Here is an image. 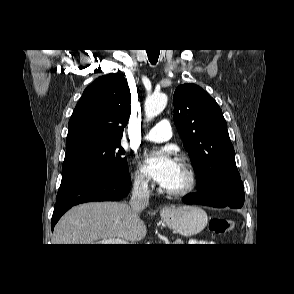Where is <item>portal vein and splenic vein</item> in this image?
Returning a JSON list of instances; mask_svg holds the SVG:
<instances>
[{
	"label": "portal vein and splenic vein",
	"mask_w": 294,
	"mask_h": 294,
	"mask_svg": "<svg viewBox=\"0 0 294 294\" xmlns=\"http://www.w3.org/2000/svg\"><path fill=\"white\" fill-rule=\"evenodd\" d=\"M99 244H108V245H121V244H129L127 240L120 238H107L102 239Z\"/></svg>",
	"instance_id": "portal-vein-and-splenic-vein-1"
}]
</instances>
